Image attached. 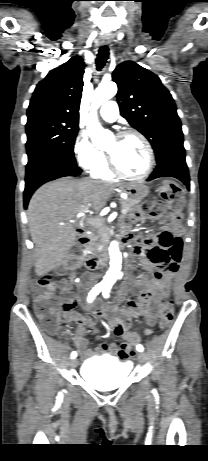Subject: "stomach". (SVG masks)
<instances>
[{
	"mask_svg": "<svg viewBox=\"0 0 208 461\" xmlns=\"http://www.w3.org/2000/svg\"><path fill=\"white\" fill-rule=\"evenodd\" d=\"M123 192L128 193L131 198L141 200L149 193V187L143 183H129L124 186Z\"/></svg>",
	"mask_w": 208,
	"mask_h": 461,
	"instance_id": "stomach-1",
	"label": "stomach"
}]
</instances>
